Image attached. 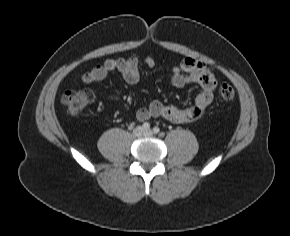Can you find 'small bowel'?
<instances>
[{
    "instance_id": "c3829d8e",
    "label": "small bowel",
    "mask_w": 290,
    "mask_h": 236,
    "mask_svg": "<svg viewBox=\"0 0 290 236\" xmlns=\"http://www.w3.org/2000/svg\"><path fill=\"white\" fill-rule=\"evenodd\" d=\"M154 64V59L151 57L144 60V65L148 68H152ZM113 71H118L129 84H135L141 78L139 60L135 56H130L128 58L107 59L103 64L85 72L82 75V82L92 84L102 81ZM170 81L175 87L195 83L201 87V91L195 97L193 104L184 108L154 101L148 107L136 111V118L139 121L164 118L173 123H193L201 118L213 100L216 80L212 69L200 61L185 58L179 65L172 67ZM118 96L119 90L115 89L108 98L116 101Z\"/></svg>"
}]
</instances>
